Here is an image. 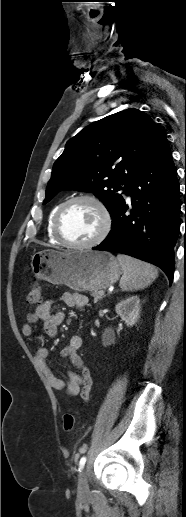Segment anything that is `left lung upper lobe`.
Returning <instances> with one entry per match:
<instances>
[{
	"label": "left lung upper lobe",
	"mask_w": 186,
	"mask_h": 517,
	"mask_svg": "<svg viewBox=\"0 0 186 517\" xmlns=\"http://www.w3.org/2000/svg\"><path fill=\"white\" fill-rule=\"evenodd\" d=\"M164 138L154 121L137 109L93 122L68 140L55 161L43 204L62 190H83L93 192L113 216L125 203L116 192L126 194L130 180Z\"/></svg>",
	"instance_id": "left-lung-upper-lobe-1"
}]
</instances>
